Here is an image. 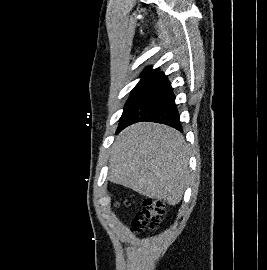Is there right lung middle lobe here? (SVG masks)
Returning a JSON list of instances; mask_svg holds the SVG:
<instances>
[{"label": "right lung middle lobe", "instance_id": "dd1d6c3e", "mask_svg": "<svg viewBox=\"0 0 267 270\" xmlns=\"http://www.w3.org/2000/svg\"><path fill=\"white\" fill-rule=\"evenodd\" d=\"M154 78L155 76L143 77L138 82V84L134 87L129 99L127 100L125 104L124 111L120 118V123H119L118 128L124 123L126 114L133 107V105L138 101V99L146 92V90L149 88Z\"/></svg>", "mask_w": 267, "mask_h": 270}]
</instances>
